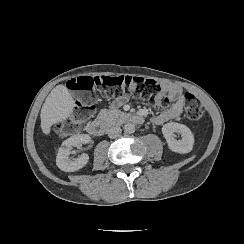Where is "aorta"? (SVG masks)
I'll use <instances>...</instances> for the list:
<instances>
[{"label": "aorta", "instance_id": "aorta-1", "mask_svg": "<svg viewBox=\"0 0 244 244\" xmlns=\"http://www.w3.org/2000/svg\"><path fill=\"white\" fill-rule=\"evenodd\" d=\"M124 132L127 134H131L135 132V125L133 123H126L123 127Z\"/></svg>", "mask_w": 244, "mask_h": 244}]
</instances>
